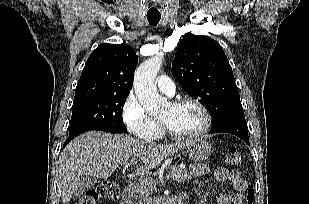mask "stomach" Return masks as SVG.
Segmentation results:
<instances>
[{
    "label": "stomach",
    "instance_id": "0dacf381",
    "mask_svg": "<svg viewBox=\"0 0 309 204\" xmlns=\"http://www.w3.org/2000/svg\"><path fill=\"white\" fill-rule=\"evenodd\" d=\"M188 157L194 161L206 160L212 153V146L202 138L189 140L186 144Z\"/></svg>",
    "mask_w": 309,
    "mask_h": 204
}]
</instances>
